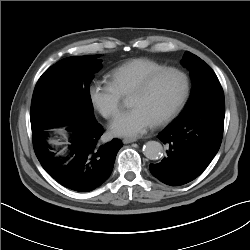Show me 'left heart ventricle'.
I'll use <instances>...</instances> for the list:
<instances>
[{
    "label": "left heart ventricle",
    "mask_w": 250,
    "mask_h": 250,
    "mask_svg": "<svg viewBox=\"0 0 250 250\" xmlns=\"http://www.w3.org/2000/svg\"><path fill=\"white\" fill-rule=\"evenodd\" d=\"M183 88L184 81L180 75L167 73L160 76L147 92L132 94L130 105L143 108L156 122L174 107Z\"/></svg>",
    "instance_id": "1"
}]
</instances>
